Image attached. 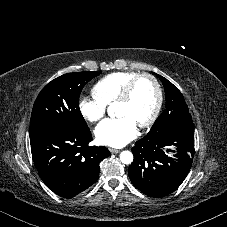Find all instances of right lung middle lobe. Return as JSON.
Returning a JSON list of instances; mask_svg holds the SVG:
<instances>
[{"mask_svg": "<svg viewBox=\"0 0 227 227\" xmlns=\"http://www.w3.org/2000/svg\"><path fill=\"white\" fill-rule=\"evenodd\" d=\"M100 73H68L48 83L34 103L30 137L51 127L89 129L79 109V96L84 85Z\"/></svg>", "mask_w": 227, "mask_h": 227, "instance_id": "1", "label": "right lung middle lobe"}]
</instances>
